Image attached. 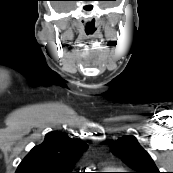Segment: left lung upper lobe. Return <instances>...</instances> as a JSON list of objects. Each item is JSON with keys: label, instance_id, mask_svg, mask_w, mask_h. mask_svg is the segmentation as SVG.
Wrapping results in <instances>:
<instances>
[{"label": "left lung upper lobe", "instance_id": "5c2ea615", "mask_svg": "<svg viewBox=\"0 0 173 173\" xmlns=\"http://www.w3.org/2000/svg\"><path fill=\"white\" fill-rule=\"evenodd\" d=\"M111 151L135 170L133 173H160L150 155L134 136L118 139L112 144Z\"/></svg>", "mask_w": 173, "mask_h": 173}]
</instances>
